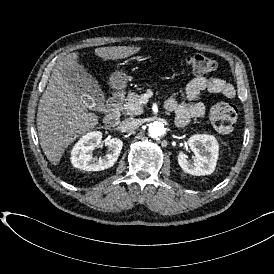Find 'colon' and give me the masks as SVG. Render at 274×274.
<instances>
[{"mask_svg": "<svg viewBox=\"0 0 274 274\" xmlns=\"http://www.w3.org/2000/svg\"><path fill=\"white\" fill-rule=\"evenodd\" d=\"M186 64L196 74H211L216 70L213 58L200 53L186 57ZM212 126L220 133L231 132L237 122V109L230 102L217 103L210 112Z\"/></svg>", "mask_w": 274, "mask_h": 274, "instance_id": "5ec220e1", "label": "colon"}]
</instances>
